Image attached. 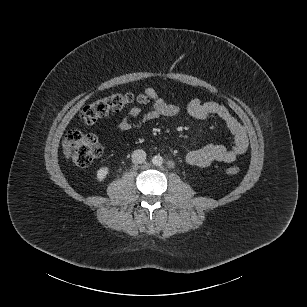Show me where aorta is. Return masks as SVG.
<instances>
[{"label":"aorta","instance_id":"1","mask_svg":"<svg viewBox=\"0 0 307 307\" xmlns=\"http://www.w3.org/2000/svg\"><path fill=\"white\" fill-rule=\"evenodd\" d=\"M163 157L160 155H155L152 157V164L155 166H161L163 164Z\"/></svg>","mask_w":307,"mask_h":307}]
</instances>
